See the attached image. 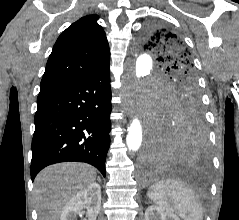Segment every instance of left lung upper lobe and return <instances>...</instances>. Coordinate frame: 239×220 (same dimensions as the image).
Wrapping results in <instances>:
<instances>
[{"label":"left lung upper lobe","mask_w":239,"mask_h":220,"mask_svg":"<svg viewBox=\"0 0 239 220\" xmlns=\"http://www.w3.org/2000/svg\"><path fill=\"white\" fill-rule=\"evenodd\" d=\"M141 43L144 49L156 55L159 66L171 75L161 95L160 108L165 112L187 108L202 112L196 70L182 38L170 28L150 24L141 36Z\"/></svg>","instance_id":"left-lung-upper-lobe-1"}]
</instances>
